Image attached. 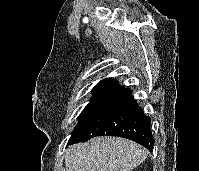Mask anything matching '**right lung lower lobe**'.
I'll list each match as a JSON object with an SVG mask.
<instances>
[{
  "instance_id": "1",
  "label": "right lung lower lobe",
  "mask_w": 199,
  "mask_h": 171,
  "mask_svg": "<svg viewBox=\"0 0 199 171\" xmlns=\"http://www.w3.org/2000/svg\"><path fill=\"white\" fill-rule=\"evenodd\" d=\"M150 122L151 119L131 95V89L121 87L118 81L112 80L82 111L68 145L96 136H118L152 151L154 138Z\"/></svg>"
}]
</instances>
